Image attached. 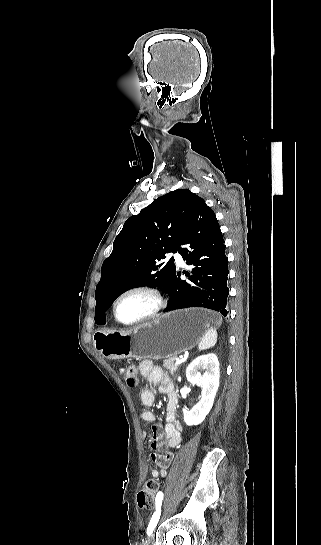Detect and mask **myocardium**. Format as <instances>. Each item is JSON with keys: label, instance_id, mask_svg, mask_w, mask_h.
Instances as JSON below:
<instances>
[{"label": "myocardium", "instance_id": "obj_1", "mask_svg": "<svg viewBox=\"0 0 321 545\" xmlns=\"http://www.w3.org/2000/svg\"><path fill=\"white\" fill-rule=\"evenodd\" d=\"M133 293H145V294H148L150 295L154 301H155V305H154V308L152 309V311L147 314L146 316L136 320V321H133V322H123L122 320H120L118 314H117V306H118V303L120 302V300L127 296V295H130V294H133ZM168 299L166 297V295L157 287L155 286H151V285H135V286H131L129 288H126L125 290H123L122 292H120L117 297L115 298L114 300V303H113V315L115 317V320L123 325V326H126V327H138V326H141L143 324H146V323H149V322H152L154 321L155 319H157L168 307Z\"/></svg>", "mask_w": 321, "mask_h": 545}]
</instances>
